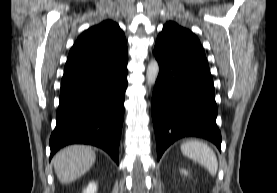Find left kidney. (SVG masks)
<instances>
[{"label":"left kidney","mask_w":277,"mask_h":193,"mask_svg":"<svg viewBox=\"0 0 277 193\" xmlns=\"http://www.w3.org/2000/svg\"><path fill=\"white\" fill-rule=\"evenodd\" d=\"M181 172L187 175V171L185 169H182Z\"/></svg>","instance_id":"1"}]
</instances>
